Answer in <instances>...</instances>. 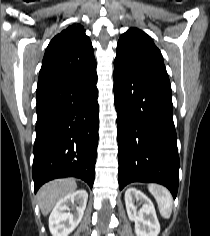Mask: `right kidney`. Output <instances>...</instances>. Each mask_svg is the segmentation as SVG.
Instances as JSON below:
<instances>
[{
  "instance_id": "right-kidney-1",
  "label": "right kidney",
  "mask_w": 210,
  "mask_h": 236,
  "mask_svg": "<svg viewBox=\"0 0 210 236\" xmlns=\"http://www.w3.org/2000/svg\"><path fill=\"white\" fill-rule=\"evenodd\" d=\"M87 199V191L80 189L57 202L49 217V230L53 236H68L78 226ZM69 206H75L73 212H70Z\"/></svg>"
}]
</instances>
